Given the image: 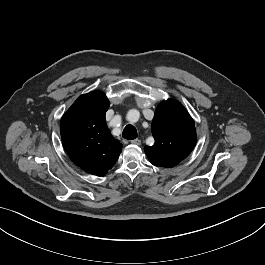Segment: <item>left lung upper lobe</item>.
<instances>
[{
	"label": "left lung upper lobe",
	"mask_w": 265,
	"mask_h": 265,
	"mask_svg": "<svg viewBox=\"0 0 265 265\" xmlns=\"http://www.w3.org/2000/svg\"><path fill=\"white\" fill-rule=\"evenodd\" d=\"M151 130L155 143L146 146L145 153L149 161L158 167L178 165L196 144L193 119L180 103L171 99L157 107Z\"/></svg>",
	"instance_id": "obj_1"
}]
</instances>
